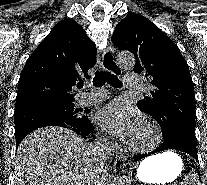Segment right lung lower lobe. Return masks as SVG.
Listing matches in <instances>:
<instances>
[{"label": "right lung lower lobe", "instance_id": "1", "mask_svg": "<svg viewBox=\"0 0 207 185\" xmlns=\"http://www.w3.org/2000/svg\"><path fill=\"white\" fill-rule=\"evenodd\" d=\"M45 126H62L65 128H69V129L75 131L77 134H79L83 138L86 137L87 135H89L95 129L94 126L92 125V123L90 122V120L85 121L81 124H72V125H60L56 122L43 123V124L35 126V127L24 128V129L20 130L19 132L15 133V135H16V148H18L20 142L30 132H32L38 128L45 127Z\"/></svg>", "mask_w": 207, "mask_h": 185}]
</instances>
